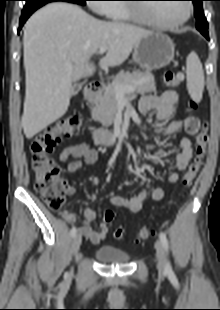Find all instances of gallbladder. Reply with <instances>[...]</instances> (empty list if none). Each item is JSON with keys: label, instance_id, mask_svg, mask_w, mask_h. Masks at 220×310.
<instances>
[{"label": "gallbladder", "instance_id": "obj_1", "mask_svg": "<svg viewBox=\"0 0 220 310\" xmlns=\"http://www.w3.org/2000/svg\"><path fill=\"white\" fill-rule=\"evenodd\" d=\"M82 89V83H74L72 87V95L78 94V92Z\"/></svg>", "mask_w": 220, "mask_h": 310}]
</instances>
